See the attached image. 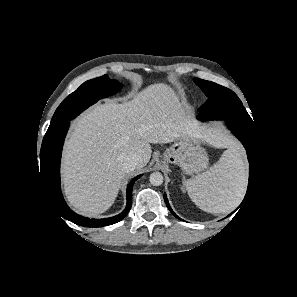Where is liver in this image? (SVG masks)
Here are the masks:
<instances>
[{
  "mask_svg": "<svg viewBox=\"0 0 297 297\" xmlns=\"http://www.w3.org/2000/svg\"><path fill=\"white\" fill-rule=\"evenodd\" d=\"M195 138L216 145V137L185 111L173 89L164 83L148 86L133 100H108L78 117L63 152L62 180L70 205L97 215L114 203L126 175L125 159L139 155L137 173L151 158L150 143Z\"/></svg>",
  "mask_w": 297,
  "mask_h": 297,
  "instance_id": "obj_1",
  "label": "liver"
}]
</instances>
